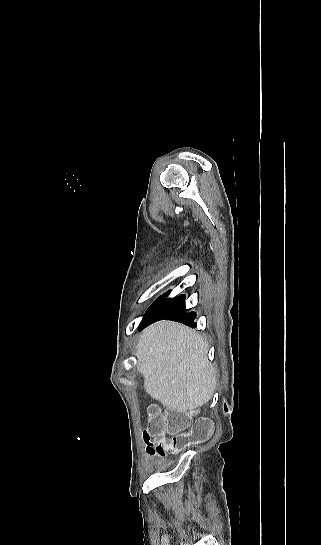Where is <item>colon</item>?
<instances>
[{"label": "colon", "mask_w": 321, "mask_h": 545, "mask_svg": "<svg viewBox=\"0 0 321 545\" xmlns=\"http://www.w3.org/2000/svg\"><path fill=\"white\" fill-rule=\"evenodd\" d=\"M190 419V411L150 407L143 432L147 452L150 455L164 456L178 453L190 445L206 442L213 433L211 420L199 418L187 430Z\"/></svg>", "instance_id": "colon-1"}]
</instances>
